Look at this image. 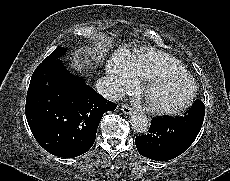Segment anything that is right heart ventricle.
<instances>
[{
	"label": "right heart ventricle",
	"mask_w": 230,
	"mask_h": 181,
	"mask_svg": "<svg viewBox=\"0 0 230 181\" xmlns=\"http://www.w3.org/2000/svg\"><path fill=\"white\" fill-rule=\"evenodd\" d=\"M110 64L143 80L158 72L184 69L178 60L148 47H123L112 56Z\"/></svg>",
	"instance_id": "obj_1"
}]
</instances>
